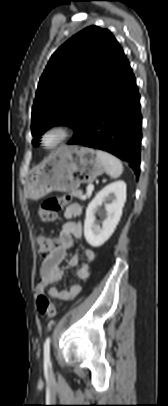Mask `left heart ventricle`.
<instances>
[{
  "instance_id": "obj_1",
  "label": "left heart ventricle",
  "mask_w": 168,
  "mask_h": 406,
  "mask_svg": "<svg viewBox=\"0 0 168 406\" xmlns=\"http://www.w3.org/2000/svg\"><path fill=\"white\" fill-rule=\"evenodd\" d=\"M56 138H57L56 135H49L46 138L45 142L47 145H51L52 143H54L56 141Z\"/></svg>"
}]
</instances>
